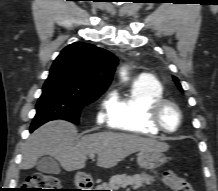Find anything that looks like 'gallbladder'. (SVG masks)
I'll return each mask as SVG.
<instances>
[{
  "label": "gallbladder",
  "instance_id": "1",
  "mask_svg": "<svg viewBox=\"0 0 218 191\" xmlns=\"http://www.w3.org/2000/svg\"><path fill=\"white\" fill-rule=\"evenodd\" d=\"M38 171L47 174H58L60 167L57 161L51 156L42 157L36 164Z\"/></svg>",
  "mask_w": 218,
  "mask_h": 191
}]
</instances>
